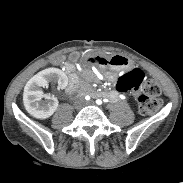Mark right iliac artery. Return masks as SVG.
Segmentation results:
<instances>
[{"label": "right iliac artery", "mask_w": 183, "mask_h": 183, "mask_svg": "<svg viewBox=\"0 0 183 183\" xmlns=\"http://www.w3.org/2000/svg\"><path fill=\"white\" fill-rule=\"evenodd\" d=\"M85 99H86V100H90V96L87 95V96L85 97Z\"/></svg>", "instance_id": "right-iliac-artery-1"}]
</instances>
